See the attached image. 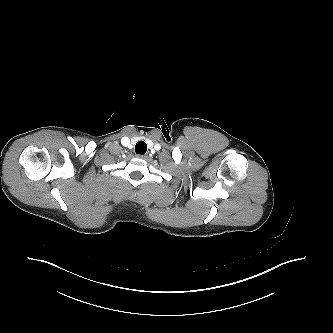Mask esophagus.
Returning a JSON list of instances; mask_svg holds the SVG:
<instances>
[{
	"label": "esophagus",
	"instance_id": "esophagus-1",
	"mask_svg": "<svg viewBox=\"0 0 333 333\" xmlns=\"http://www.w3.org/2000/svg\"><path fill=\"white\" fill-rule=\"evenodd\" d=\"M138 158L145 159L146 155H137Z\"/></svg>",
	"mask_w": 333,
	"mask_h": 333
}]
</instances>
